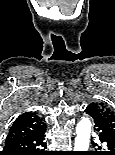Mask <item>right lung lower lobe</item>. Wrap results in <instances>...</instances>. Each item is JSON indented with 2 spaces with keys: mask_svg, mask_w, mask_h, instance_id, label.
Segmentation results:
<instances>
[{
  "mask_svg": "<svg viewBox=\"0 0 115 155\" xmlns=\"http://www.w3.org/2000/svg\"><path fill=\"white\" fill-rule=\"evenodd\" d=\"M45 132L46 129L23 139L6 142L0 155H50L45 150Z\"/></svg>",
  "mask_w": 115,
  "mask_h": 155,
  "instance_id": "obj_1",
  "label": "right lung lower lobe"
}]
</instances>
